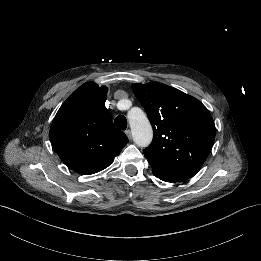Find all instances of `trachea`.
Returning <instances> with one entry per match:
<instances>
[{"instance_id":"obj_1","label":"trachea","mask_w":261,"mask_h":261,"mask_svg":"<svg viewBox=\"0 0 261 261\" xmlns=\"http://www.w3.org/2000/svg\"><path fill=\"white\" fill-rule=\"evenodd\" d=\"M115 126L120 130H125L127 127V119L123 115H119L114 120Z\"/></svg>"}]
</instances>
